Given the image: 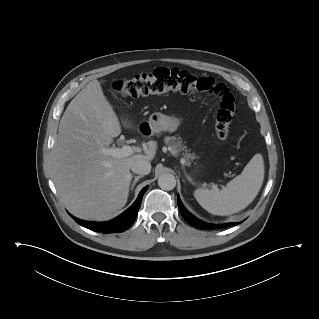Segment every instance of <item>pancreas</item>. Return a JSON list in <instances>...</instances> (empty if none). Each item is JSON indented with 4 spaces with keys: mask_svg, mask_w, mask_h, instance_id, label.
<instances>
[{
    "mask_svg": "<svg viewBox=\"0 0 319 319\" xmlns=\"http://www.w3.org/2000/svg\"><path fill=\"white\" fill-rule=\"evenodd\" d=\"M164 141L170 146L172 152L180 153L183 151L182 156L186 165H190L191 161L197 158L195 153H190V149L183 145L181 137L166 136Z\"/></svg>",
    "mask_w": 319,
    "mask_h": 319,
    "instance_id": "1",
    "label": "pancreas"
}]
</instances>
